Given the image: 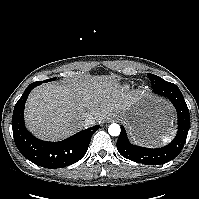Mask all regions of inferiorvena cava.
<instances>
[{
	"instance_id": "602c4592",
	"label": "inferior vena cava",
	"mask_w": 199,
	"mask_h": 199,
	"mask_svg": "<svg viewBox=\"0 0 199 199\" xmlns=\"http://www.w3.org/2000/svg\"><path fill=\"white\" fill-rule=\"evenodd\" d=\"M95 121H96L95 117L93 115L89 114L84 119L83 124H84L85 127H89V126L94 125Z\"/></svg>"
}]
</instances>
